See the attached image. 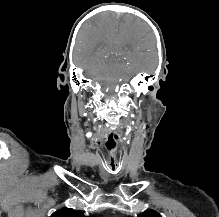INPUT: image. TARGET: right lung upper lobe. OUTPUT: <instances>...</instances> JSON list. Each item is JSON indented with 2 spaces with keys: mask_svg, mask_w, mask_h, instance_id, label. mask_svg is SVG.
<instances>
[{
  "mask_svg": "<svg viewBox=\"0 0 219 217\" xmlns=\"http://www.w3.org/2000/svg\"><path fill=\"white\" fill-rule=\"evenodd\" d=\"M50 217H85L83 212L74 209H60L53 213ZM93 217V216H90Z\"/></svg>",
  "mask_w": 219,
  "mask_h": 217,
  "instance_id": "cb5924a9",
  "label": "right lung upper lobe"
}]
</instances>
